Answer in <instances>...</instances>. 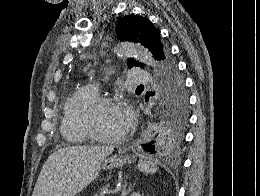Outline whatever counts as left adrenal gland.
<instances>
[{"mask_svg": "<svg viewBox=\"0 0 260 196\" xmlns=\"http://www.w3.org/2000/svg\"><path fill=\"white\" fill-rule=\"evenodd\" d=\"M126 186L127 184H124L121 196H128L129 192H131V188H128V190H126Z\"/></svg>", "mask_w": 260, "mask_h": 196, "instance_id": "1", "label": "left adrenal gland"}]
</instances>
